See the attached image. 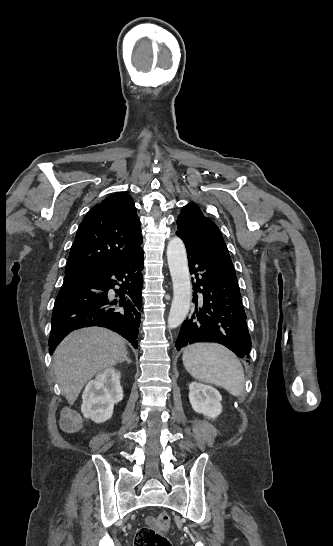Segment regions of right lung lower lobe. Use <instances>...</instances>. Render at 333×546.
I'll return each mask as SVG.
<instances>
[{
  "instance_id": "1",
  "label": "right lung lower lobe",
  "mask_w": 333,
  "mask_h": 546,
  "mask_svg": "<svg viewBox=\"0 0 333 546\" xmlns=\"http://www.w3.org/2000/svg\"><path fill=\"white\" fill-rule=\"evenodd\" d=\"M142 270L143 250L124 263L66 275L53 308L50 354L71 331L89 326L111 329L137 349Z\"/></svg>"
}]
</instances>
